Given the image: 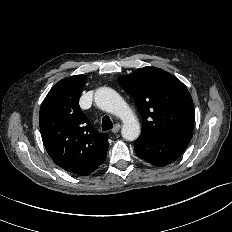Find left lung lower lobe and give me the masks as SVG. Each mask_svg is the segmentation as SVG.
Wrapping results in <instances>:
<instances>
[{
	"label": "left lung lower lobe",
	"mask_w": 232,
	"mask_h": 232,
	"mask_svg": "<svg viewBox=\"0 0 232 232\" xmlns=\"http://www.w3.org/2000/svg\"><path fill=\"white\" fill-rule=\"evenodd\" d=\"M190 140L191 138L182 136H139L134 142V148L140 158L162 167L176 161L182 155Z\"/></svg>",
	"instance_id": "left-lung-lower-lobe-1"
}]
</instances>
